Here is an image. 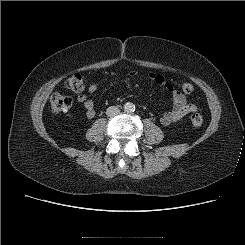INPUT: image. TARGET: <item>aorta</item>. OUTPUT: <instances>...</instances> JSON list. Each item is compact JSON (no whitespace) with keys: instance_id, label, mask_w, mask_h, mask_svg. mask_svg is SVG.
I'll use <instances>...</instances> for the list:
<instances>
[{"instance_id":"aorta-1","label":"aorta","mask_w":245,"mask_h":245,"mask_svg":"<svg viewBox=\"0 0 245 245\" xmlns=\"http://www.w3.org/2000/svg\"><path fill=\"white\" fill-rule=\"evenodd\" d=\"M123 108H124V111L127 113H131L135 111V105L130 102L126 103Z\"/></svg>"}]
</instances>
